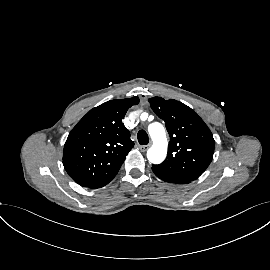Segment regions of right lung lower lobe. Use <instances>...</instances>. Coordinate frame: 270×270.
Instances as JSON below:
<instances>
[{
    "label": "right lung lower lobe",
    "mask_w": 270,
    "mask_h": 270,
    "mask_svg": "<svg viewBox=\"0 0 270 270\" xmlns=\"http://www.w3.org/2000/svg\"><path fill=\"white\" fill-rule=\"evenodd\" d=\"M108 183H109V182L104 183V184H101V185H98V186H95V187H92V188H93V189L101 188V187L105 186V185L108 184Z\"/></svg>",
    "instance_id": "right-lung-lower-lobe-1"
}]
</instances>
